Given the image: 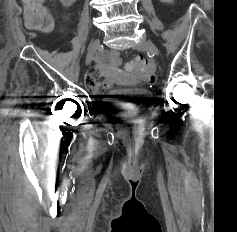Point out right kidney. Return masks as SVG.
Returning <instances> with one entry per match:
<instances>
[{
  "mask_svg": "<svg viewBox=\"0 0 237 232\" xmlns=\"http://www.w3.org/2000/svg\"><path fill=\"white\" fill-rule=\"evenodd\" d=\"M76 0H60V2L62 3V5L64 7H69L71 6Z\"/></svg>",
  "mask_w": 237,
  "mask_h": 232,
  "instance_id": "right-kidney-1",
  "label": "right kidney"
}]
</instances>
